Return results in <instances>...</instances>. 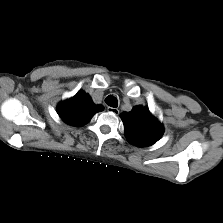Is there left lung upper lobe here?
I'll list each match as a JSON object with an SVG mask.
<instances>
[{"label": "left lung upper lobe", "mask_w": 223, "mask_h": 223, "mask_svg": "<svg viewBox=\"0 0 223 223\" xmlns=\"http://www.w3.org/2000/svg\"><path fill=\"white\" fill-rule=\"evenodd\" d=\"M121 119L127 140L135 146H151L163 134L162 125L147 107L135 106L131 112H123Z\"/></svg>", "instance_id": "left-lung-upper-lobe-1"}]
</instances>
